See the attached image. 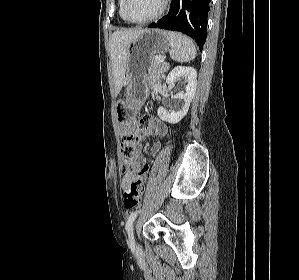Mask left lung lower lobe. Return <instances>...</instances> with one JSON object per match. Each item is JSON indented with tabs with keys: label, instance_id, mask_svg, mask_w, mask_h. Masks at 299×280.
Wrapping results in <instances>:
<instances>
[{
	"label": "left lung lower lobe",
	"instance_id": "obj_1",
	"mask_svg": "<svg viewBox=\"0 0 299 280\" xmlns=\"http://www.w3.org/2000/svg\"><path fill=\"white\" fill-rule=\"evenodd\" d=\"M211 0H172L169 13L150 28L180 31L189 35L202 46L207 36V14Z\"/></svg>",
	"mask_w": 299,
	"mask_h": 280
}]
</instances>
